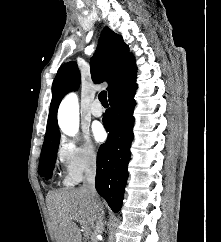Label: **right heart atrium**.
<instances>
[{
  "mask_svg": "<svg viewBox=\"0 0 221 242\" xmlns=\"http://www.w3.org/2000/svg\"><path fill=\"white\" fill-rule=\"evenodd\" d=\"M56 155L65 171V183L70 185L81 180L85 173L94 171L98 163L97 149L86 139L61 137Z\"/></svg>",
  "mask_w": 221,
  "mask_h": 242,
  "instance_id": "1",
  "label": "right heart atrium"
}]
</instances>
